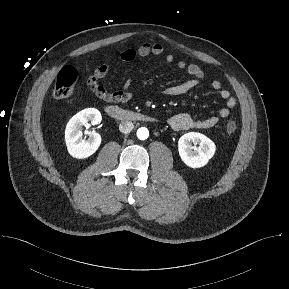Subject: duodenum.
Listing matches in <instances>:
<instances>
[{
	"label": "duodenum",
	"mask_w": 289,
	"mask_h": 289,
	"mask_svg": "<svg viewBox=\"0 0 289 289\" xmlns=\"http://www.w3.org/2000/svg\"><path fill=\"white\" fill-rule=\"evenodd\" d=\"M106 114L114 119L121 121H140V122H156L154 117L148 116L143 113L133 112L121 109L117 106H108L105 109Z\"/></svg>",
	"instance_id": "obj_1"
}]
</instances>
